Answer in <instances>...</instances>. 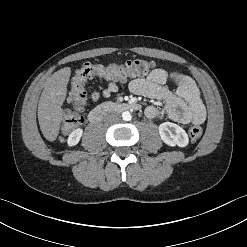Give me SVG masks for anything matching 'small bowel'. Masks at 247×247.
<instances>
[{"label": "small bowel", "instance_id": "obj_1", "mask_svg": "<svg viewBox=\"0 0 247 247\" xmlns=\"http://www.w3.org/2000/svg\"><path fill=\"white\" fill-rule=\"evenodd\" d=\"M167 83L176 88V93L166 87ZM118 86V81L112 80L104 89L93 92V101L110 96L118 90ZM129 88L136 95L162 101L169 117L176 122L201 124L206 118V110L196 83L180 70L154 69L145 77L133 79ZM67 101L70 103L72 99L69 97ZM160 114V109L155 105H150L145 110L146 117L152 120L157 119Z\"/></svg>", "mask_w": 247, "mask_h": 247}]
</instances>
